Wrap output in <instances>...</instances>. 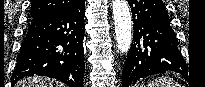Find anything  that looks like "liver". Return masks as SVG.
<instances>
[{
	"label": "liver",
	"instance_id": "1",
	"mask_svg": "<svg viewBox=\"0 0 205 87\" xmlns=\"http://www.w3.org/2000/svg\"><path fill=\"white\" fill-rule=\"evenodd\" d=\"M16 87H64V85L49 78L33 76L20 80Z\"/></svg>",
	"mask_w": 205,
	"mask_h": 87
}]
</instances>
